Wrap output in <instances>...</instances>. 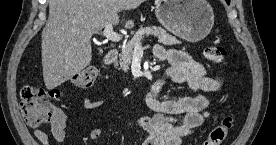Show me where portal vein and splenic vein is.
Returning a JSON list of instances; mask_svg holds the SVG:
<instances>
[{
	"label": "portal vein and splenic vein",
	"mask_w": 276,
	"mask_h": 145,
	"mask_svg": "<svg viewBox=\"0 0 276 145\" xmlns=\"http://www.w3.org/2000/svg\"><path fill=\"white\" fill-rule=\"evenodd\" d=\"M102 33L104 37L112 42H118L121 40V36L113 30L112 24H107ZM139 50H142V45L140 42L134 46V51Z\"/></svg>",
	"instance_id": "portal-vein-and-splenic-vein-1"
}]
</instances>
